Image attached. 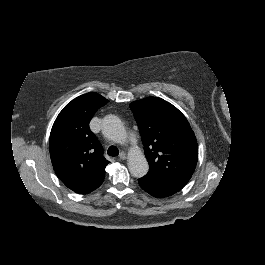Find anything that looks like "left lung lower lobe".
Returning <instances> with one entry per match:
<instances>
[{
    "label": "left lung lower lobe",
    "instance_id": "left-lung-lower-lobe-1",
    "mask_svg": "<svg viewBox=\"0 0 265 265\" xmlns=\"http://www.w3.org/2000/svg\"><path fill=\"white\" fill-rule=\"evenodd\" d=\"M138 182L143 190L157 198L173 195L185 186L183 184H171L157 181L147 176L138 179Z\"/></svg>",
    "mask_w": 265,
    "mask_h": 265
}]
</instances>
